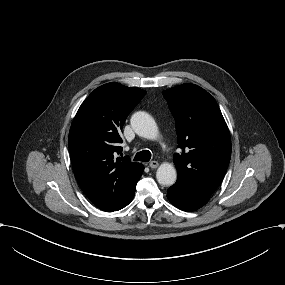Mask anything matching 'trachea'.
<instances>
[{"label":"trachea","mask_w":285,"mask_h":285,"mask_svg":"<svg viewBox=\"0 0 285 285\" xmlns=\"http://www.w3.org/2000/svg\"><path fill=\"white\" fill-rule=\"evenodd\" d=\"M151 158V153L148 150H143L138 152L135 155L134 160L135 161H143V162H148Z\"/></svg>","instance_id":"trachea-1"}]
</instances>
